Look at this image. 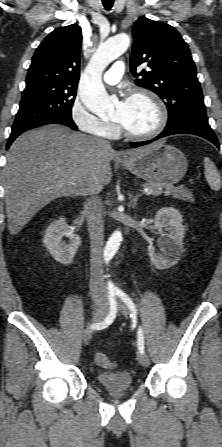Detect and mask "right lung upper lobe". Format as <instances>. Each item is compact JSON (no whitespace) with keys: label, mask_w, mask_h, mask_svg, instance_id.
Returning a JSON list of instances; mask_svg holds the SVG:
<instances>
[{"label":"right lung upper lobe","mask_w":222,"mask_h":447,"mask_svg":"<svg viewBox=\"0 0 222 447\" xmlns=\"http://www.w3.org/2000/svg\"><path fill=\"white\" fill-rule=\"evenodd\" d=\"M81 42V28L76 24L52 31L35 51L26 88L43 85L77 87Z\"/></svg>","instance_id":"right-lung-upper-lobe-1"}]
</instances>
